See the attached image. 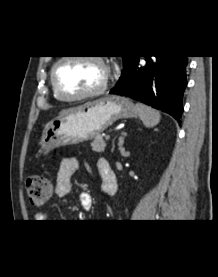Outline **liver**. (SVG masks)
I'll list each match as a JSON object with an SVG mask.
<instances>
[{
    "label": "liver",
    "mask_w": 218,
    "mask_h": 277,
    "mask_svg": "<svg viewBox=\"0 0 218 277\" xmlns=\"http://www.w3.org/2000/svg\"><path fill=\"white\" fill-rule=\"evenodd\" d=\"M79 108H80V107H75V108H70V109L62 110V111L59 113V116H65V115L71 114V113L75 112L76 110H78Z\"/></svg>",
    "instance_id": "6515ba94"
}]
</instances>
